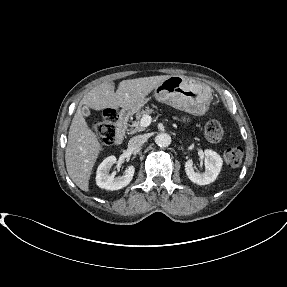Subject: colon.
<instances>
[{
    "mask_svg": "<svg viewBox=\"0 0 287 287\" xmlns=\"http://www.w3.org/2000/svg\"><path fill=\"white\" fill-rule=\"evenodd\" d=\"M118 114L114 109H107L95 123V131L102 146L109 145L115 138V124ZM205 135L211 142H219L224 135L222 125L217 120H210L205 125ZM224 158L229 166L240 165L243 150L240 147H230L224 153Z\"/></svg>",
    "mask_w": 287,
    "mask_h": 287,
    "instance_id": "colon-1",
    "label": "colon"
}]
</instances>
